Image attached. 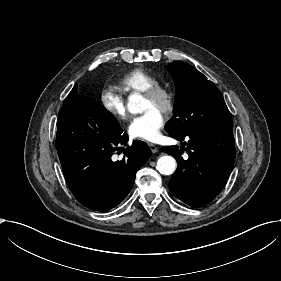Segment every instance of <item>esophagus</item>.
<instances>
[{
  "instance_id": "obj_1",
  "label": "esophagus",
  "mask_w": 281,
  "mask_h": 281,
  "mask_svg": "<svg viewBox=\"0 0 281 281\" xmlns=\"http://www.w3.org/2000/svg\"><path fill=\"white\" fill-rule=\"evenodd\" d=\"M148 146L151 149L152 153H156L158 151L157 146H155L154 144L148 142Z\"/></svg>"
}]
</instances>
